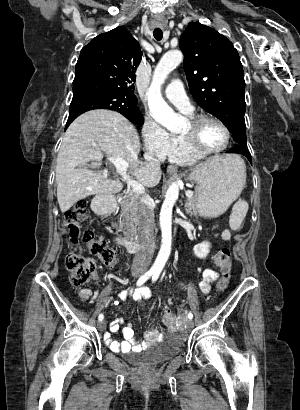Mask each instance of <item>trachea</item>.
Listing matches in <instances>:
<instances>
[{"label":"trachea","mask_w":300,"mask_h":410,"mask_svg":"<svg viewBox=\"0 0 300 410\" xmlns=\"http://www.w3.org/2000/svg\"><path fill=\"white\" fill-rule=\"evenodd\" d=\"M153 35L155 37L156 40H161L163 37V32L161 29H155L153 32Z\"/></svg>","instance_id":"3493384b"}]
</instances>
